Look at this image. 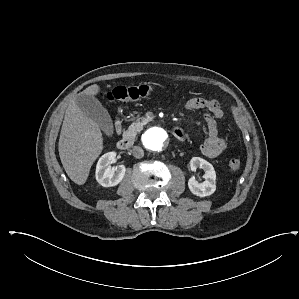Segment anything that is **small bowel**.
Instances as JSON below:
<instances>
[{"mask_svg": "<svg viewBox=\"0 0 299 299\" xmlns=\"http://www.w3.org/2000/svg\"><path fill=\"white\" fill-rule=\"evenodd\" d=\"M187 111L205 109V122L207 126V138L201 145L202 153L209 158L220 156L226 151L227 144L218 136L217 120L223 118L224 110L218 100L202 97L190 98L184 105Z\"/></svg>", "mask_w": 299, "mask_h": 299, "instance_id": "small-bowel-1", "label": "small bowel"}]
</instances>
